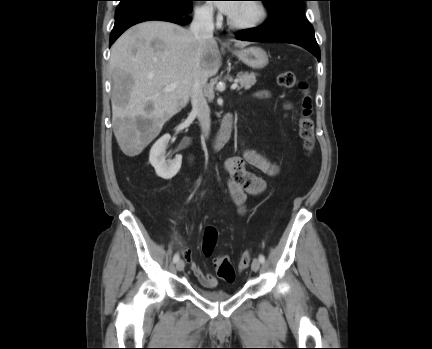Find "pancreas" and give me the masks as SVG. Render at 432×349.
Wrapping results in <instances>:
<instances>
[{"label": "pancreas", "instance_id": "1", "mask_svg": "<svg viewBox=\"0 0 432 349\" xmlns=\"http://www.w3.org/2000/svg\"><path fill=\"white\" fill-rule=\"evenodd\" d=\"M237 83L239 84L238 90L244 88L249 89L256 83V74L255 73H239L236 76Z\"/></svg>", "mask_w": 432, "mask_h": 349}]
</instances>
